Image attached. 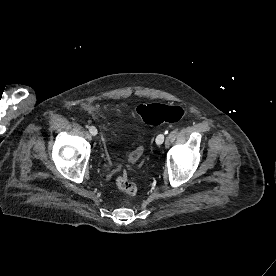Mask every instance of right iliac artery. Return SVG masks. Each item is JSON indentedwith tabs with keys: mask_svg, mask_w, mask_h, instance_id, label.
Wrapping results in <instances>:
<instances>
[{
	"mask_svg": "<svg viewBox=\"0 0 276 276\" xmlns=\"http://www.w3.org/2000/svg\"><path fill=\"white\" fill-rule=\"evenodd\" d=\"M86 128H89V125H86Z\"/></svg>",
	"mask_w": 276,
	"mask_h": 276,
	"instance_id": "obj_1",
	"label": "right iliac artery"
}]
</instances>
